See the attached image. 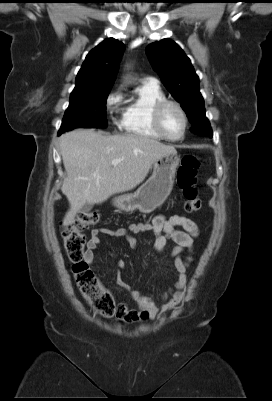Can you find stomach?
I'll return each mask as SVG.
<instances>
[{
    "instance_id": "0dacf381",
    "label": "stomach",
    "mask_w": 272,
    "mask_h": 401,
    "mask_svg": "<svg viewBox=\"0 0 272 401\" xmlns=\"http://www.w3.org/2000/svg\"><path fill=\"white\" fill-rule=\"evenodd\" d=\"M180 158L176 153L166 154L153 163L151 177L134 193L113 198L118 209L133 212L151 213L160 207L169 196Z\"/></svg>"
}]
</instances>
